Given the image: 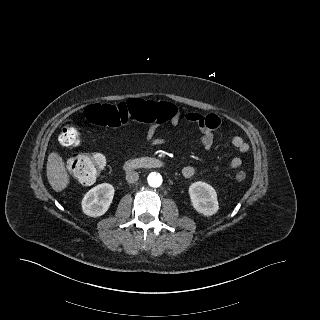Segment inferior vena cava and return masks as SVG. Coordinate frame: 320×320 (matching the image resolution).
I'll use <instances>...</instances> for the list:
<instances>
[{
  "mask_svg": "<svg viewBox=\"0 0 320 320\" xmlns=\"http://www.w3.org/2000/svg\"><path fill=\"white\" fill-rule=\"evenodd\" d=\"M139 179V174L136 171H128L126 174V180L128 183H135Z\"/></svg>",
  "mask_w": 320,
  "mask_h": 320,
  "instance_id": "inferior-vena-cava-1",
  "label": "inferior vena cava"
}]
</instances>
